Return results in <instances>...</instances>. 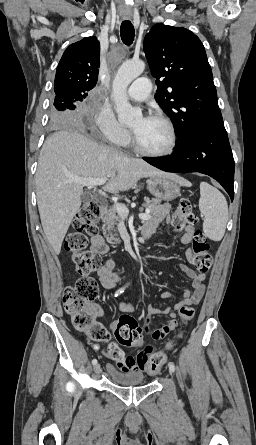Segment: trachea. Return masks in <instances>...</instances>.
<instances>
[{"mask_svg":"<svg viewBox=\"0 0 256 445\" xmlns=\"http://www.w3.org/2000/svg\"><path fill=\"white\" fill-rule=\"evenodd\" d=\"M120 35L123 43L130 46L135 37V30L132 23L128 20L123 21L120 27Z\"/></svg>","mask_w":256,"mask_h":445,"instance_id":"3493384b","label":"trachea"}]
</instances>
